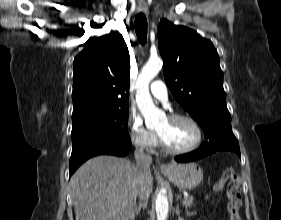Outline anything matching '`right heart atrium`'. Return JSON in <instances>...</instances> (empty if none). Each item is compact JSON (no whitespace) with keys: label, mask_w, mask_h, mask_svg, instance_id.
Wrapping results in <instances>:
<instances>
[{"label":"right heart atrium","mask_w":281,"mask_h":220,"mask_svg":"<svg viewBox=\"0 0 281 220\" xmlns=\"http://www.w3.org/2000/svg\"><path fill=\"white\" fill-rule=\"evenodd\" d=\"M127 127L130 141L137 149L150 151L156 146V135L145 127L137 114H130Z\"/></svg>","instance_id":"right-heart-atrium-1"}]
</instances>
